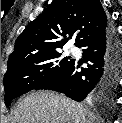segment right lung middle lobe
<instances>
[{"instance_id": "right-lung-middle-lobe-1", "label": "right lung middle lobe", "mask_w": 122, "mask_h": 123, "mask_svg": "<svg viewBox=\"0 0 122 123\" xmlns=\"http://www.w3.org/2000/svg\"><path fill=\"white\" fill-rule=\"evenodd\" d=\"M73 62L59 51L31 56L8 66L4 76L5 104L63 73Z\"/></svg>"}]
</instances>
